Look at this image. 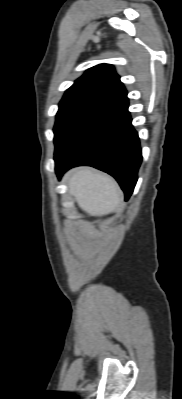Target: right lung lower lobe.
Segmentation results:
<instances>
[{"mask_svg": "<svg viewBox=\"0 0 182 399\" xmlns=\"http://www.w3.org/2000/svg\"><path fill=\"white\" fill-rule=\"evenodd\" d=\"M131 122L127 96L84 118L56 145L57 176L61 178L75 166H93L112 175L128 200L142 161L139 137Z\"/></svg>", "mask_w": 182, "mask_h": 399, "instance_id": "98d812e1", "label": "right lung lower lobe"}]
</instances>
